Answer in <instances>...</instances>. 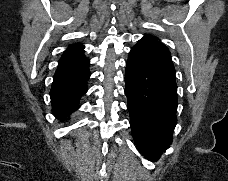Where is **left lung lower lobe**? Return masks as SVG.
<instances>
[{
  "label": "left lung lower lobe",
  "mask_w": 228,
  "mask_h": 181,
  "mask_svg": "<svg viewBox=\"0 0 228 181\" xmlns=\"http://www.w3.org/2000/svg\"><path fill=\"white\" fill-rule=\"evenodd\" d=\"M125 83L136 145L148 160L157 161L172 144L177 124V85L168 48L143 37L129 53Z\"/></svg>",
  "instance_id": "obj_1"
}]
</instances>
